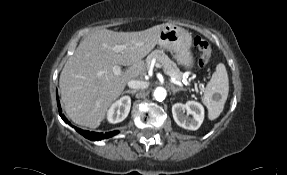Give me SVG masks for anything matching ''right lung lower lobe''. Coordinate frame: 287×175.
<instances>
[{
  "instance_id": "98d812e1",
  "label": "right lung lower lobe",
  "mask_w": 287,
  "mask_h": 175,
  "mask_svg": "<svg viewBox=\"0 0 287 175\" xmlns=\"http://www.w3.org/2000/svg\"><path fill=\"white\" fill-rule=\"evenodd\" d=\"M57 104H58V109H59V112H61V107H60V103H59V100H58V96H57ZM60 116L61 118L63 119L64 122L68 123L69 125H71V123L66 119V117L60 113ZM76 131L78 133H80L81 135H83L85 138L89 139V140H92V141H99V140H102V139H105V138H110L114 135H116L118 132L117 131H113V132H108V133H97V132H90V131H86V130H82V129H79L75 126H73Z\"/></svg>"
}]
</instances>
